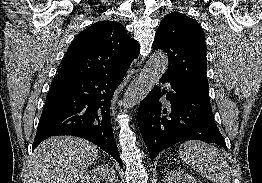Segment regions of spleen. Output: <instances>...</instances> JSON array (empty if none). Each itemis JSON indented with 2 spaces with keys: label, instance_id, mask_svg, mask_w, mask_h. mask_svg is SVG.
Wrapping results in <instances>:
<instances>
[{
  "label": "spleen",
  "instance_id": "spleen-1",
  "mask_svg": "<svg viewBox=\"0 0 262 183\" xmlns=\"http://www.w3.org/2000/svg\"><path fill=\"white\" fill-rule=\"evenodd\" d=\"M179 155L201 176L215 183H230L228 164L215 146L191 140L181 145Z\"/></svg>",
  "mask_w": 262,
  "mask_h": 183
}]
</instances>
